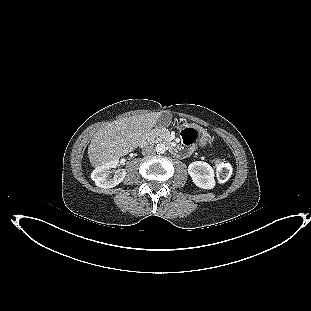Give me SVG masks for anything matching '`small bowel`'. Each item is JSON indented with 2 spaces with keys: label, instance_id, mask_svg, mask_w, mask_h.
<instances>
[{
  "label": "small bowel",
  "instance_id": "c3829d8e",
  "mask_svg": "<svg viewBox=\"0 0 311 311\" xmlns=\"http://www.w3.org/2000/svg\"><path fill=\"white\" fill-rule=\"evenodd\" d=\"M191 130L196 133V131L194 129H191Z\"/></svg>",
  "mask_w": 311,
  "mask_h": 311
}]
</instances>
